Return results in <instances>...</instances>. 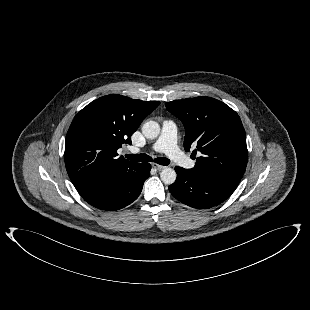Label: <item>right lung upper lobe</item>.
Masks as SVG:
<instances>
[{
    "label": "right lung upper lobe",
    "instance_id": "cb5924a9",
    "mask_svg": "<svg viewBox=\"0 0 310 310\" xmlns=\"http://www.w3.org/2000/svg\"><path fill=\"white\" fill-rule=\"evenodd\" d=\"M159 101L107 95L84 107L72 121L65 143V165L77 190L110 176L132 170L137 164L118 157L117 150Z\"/></svg>",
    "mask_w": 310,
    "mask_h": 310
}]
</instances>
